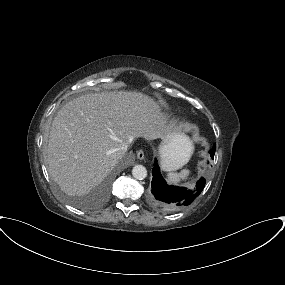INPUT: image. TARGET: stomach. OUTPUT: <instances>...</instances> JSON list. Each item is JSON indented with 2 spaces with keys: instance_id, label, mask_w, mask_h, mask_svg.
I'll list each match as a JSON object with an SVG mask.
<instances>
[{
  "instance_id": "obj_1",
  "label": "stomach",
  "mask_w": 285,
  "mask_h": 285,
  "mask_svg": "<svg viewBox=\"0 0 285 285\" xmlns=\"http://www.w3.org/2000/svg\"><path fill=\"white\" fill-rule=\"evenodd\" d=\"M176 141L182 147L185 154L179 157H163L162 154V166L166 170H175L182 167L189 160V157L192 153V146L187 144V138L185 136L176 135Z\"/></svg>"
}]
</instances>
